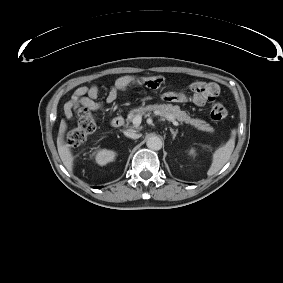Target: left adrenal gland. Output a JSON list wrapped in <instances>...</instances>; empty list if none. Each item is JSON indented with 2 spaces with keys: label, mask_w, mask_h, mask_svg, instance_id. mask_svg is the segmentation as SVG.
I'll list each match as a JSON object with an SVG mask.
<instances>
[{
  "label": "left adrenal gland",
  "mask_w": 283,
  "mask_h": 283,
  "mask_svg": "<svg viewBox=\"0 0 283 283\" xmlns=\"http://www.w3.org/2000/svg\"><path fill=\"white\" fill-rule=\"evenodd\" d=\"M170 132L173 135V140H174L178 134V130L174 131L172 128H170Z\"/></svg>",
  "instance_id": "obj_1"
}]
</instances>
